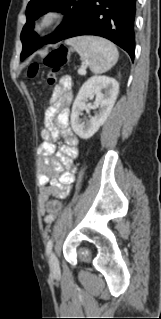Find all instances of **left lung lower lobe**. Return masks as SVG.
<instances>
[{
	"label": "left lung lower lobe",
	"instance_id": "obj_1",
	"mask_svg": "<svg viewBox=\"0 0 161 319\" xmlns=\"http://www.w3.org/2000/svg\"><path fill=\"white\" fill-rule=\"evenodd\" d=\"M136 1L92 0L82 17L63 39L81 35L101 36L120 46L134 60ZM35 50L37 48L28 49L20 59L24 60Z\"/></svg>",
	"mask_w": 161,
	"mask_h": 319
}]
</instances>
